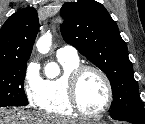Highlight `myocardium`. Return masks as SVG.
<instances>
[{"instance_id": "f54148a6", "label": "myocardium", "mask_w": 145, "mask_h": 124, "mask_svg": "<svg viewBox=\"0 0 145 124\" xmlns=\"http://www.w3.org/2000/svg\"><path fill=\"white\" fill-rule=\"evenodd\" d=\"M95 72L97 73L101 79L103 80L106 89H107V101L105 105L98 112L90 113L86 112L79 99V84L86 72ZM67 90H68V98L72 108L75 112L85 118H99L103 116L108 109L111 107L114 99L113 87L112 83L107 76V74L99 67L93 65H79L75 69H73L67 78Z\"/></svg>"}]
</instances>
